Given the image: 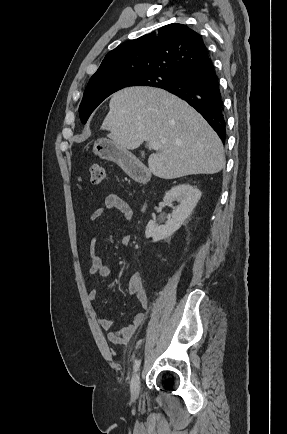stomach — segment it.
<instances>
[{
  "instance_id": "stomach-1",
  "label": "stomach",
  "mask_w": 287,
  "mask_h": 434,
  "mask_svg": "<svg viewBox=\"0 0 287 434\" xmlns=\"http://www.w3.org/2000/svg\"><path fill=\"white\" fill-rule=\"evenodd\" d=\"M93 152L100 158L117 163L123 168H126L133 159V155L128 150L104 138L95 141Z\"/></svg>"
}]
</instances>
